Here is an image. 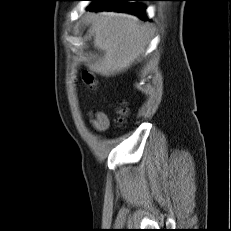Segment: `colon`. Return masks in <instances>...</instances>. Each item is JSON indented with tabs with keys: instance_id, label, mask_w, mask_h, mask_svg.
Returning a JSON list of instances; mask_svg holds the SVG:
<instances>
[{
	"instance_id": "5ec220e1",
	"label": "colon",
	"mask_w": 231,
	"mask_h": 231,
	"mask_svg": "<svg viewBox=\"0 0 231 231\" xmlns=\"http://www.w3.org/2000/svg\"><path fill=\"white\" fill-rule=\"evenodd\" d=\"M82 81L84 84H86L90 88H94V86H95V79H94L93 75L90 73H84L82 75ZM125 112H126V110L124 108L120 109V113L122 115L125 114Z\"/></svg>"
}]
</instances>
